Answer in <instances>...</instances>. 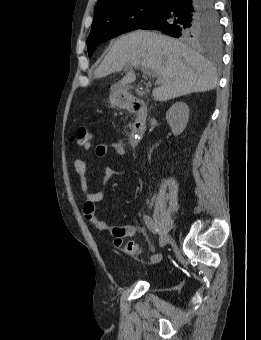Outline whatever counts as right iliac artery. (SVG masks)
I'll return each mask as SVG.
<instances>
[{
  "label": "right iliac artery",
  "mask_w": 261,
  "mask_h": 340,
  "mask_svg": "<svg viewBox=\"0 0 261 340\" xmlns=\"http://www.w3.org/2000/svg\"><path fill=\"white\" fill-rule=\"evenodd\" d=\"M143 219H144L146 226L148 227V229L153 234L156 235V234L159 233V228H158L157 224L155 223V221L149 215H144ZM161 259H162V254L161 253H155V254L151 255L150 262L152 264H156V263L160 262Z\"/></svg>",
  "instance_id": "1"
}]
</instances>
